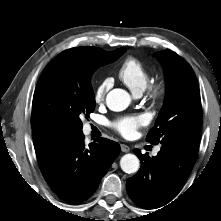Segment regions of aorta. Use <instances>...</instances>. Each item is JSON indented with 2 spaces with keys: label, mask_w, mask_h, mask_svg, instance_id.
Masks as SVG:
<instances>
[{
  "label": "aorta",
  "mask_w": 221,
  "mask_h": 221,
  "mask_svg": "<svg viewBox=\"0 0 221 221\" xmlns=\"http://www.w3.org/2000/svg\"><path fill=\"white\" fill-rule=\"evenodd\" d=\"M131 102L129 93L123 89H113L106 97V104L112 111H123ZM121 169L128 174L135 173L140 167V161L134 154H125L120 160Z\"/></svg>",
  "instance_id": "762f6f07"
}]
</instances>
